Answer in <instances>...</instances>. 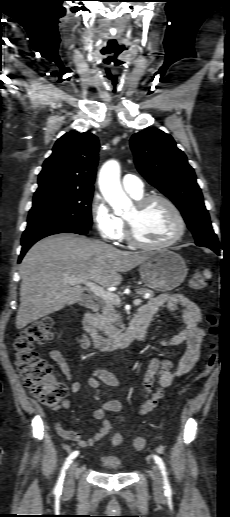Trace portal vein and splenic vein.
<instances>
[{
  "label": "portal vein and splenic vein",
  "instance_id": "18ae733b",
  "mask_svg": "<svg viewBox=\"0 0 230 517\" xmlns=\"http://www.w3.org/2000/svg\"><path fill=\"white\" fill-rule=\"evenodd\" d=\"M66 281L68 283H70L71 285L85 284L96 296L100 297L101 299H103L109 303L119 305L121 302L120 297L117 294L106 291L102 287L98 286L97 284H95L93 282L83 280L82 278H79V277H70ZM147 295H149V294H147ZM133 303H134V305H140L142 303V301H141V299H136V300H134Z\"/></svg>",
  "mask_w": 230,
  "mask_h": 517
}]
</instances>
